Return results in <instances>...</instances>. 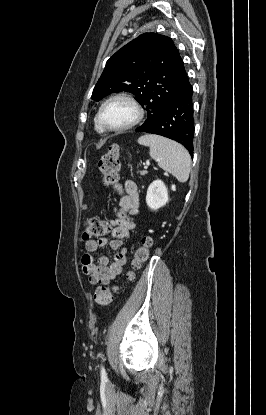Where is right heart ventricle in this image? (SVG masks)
<instances>
[{
    "label": "right heart ventricle",
    "instance_id": "right-heart-ventricle-1",
    "mask_svg": "<svg viewBox=\"0 0 266 415\" xmlns=\"http://www.w3.org/2000/svg\"><path fill=\"white\" fill-rule=\"evenodd\" d=\"M95 130H96L98 133H102V132H104V129L100 126V124H99V122H98L97 117H96V119H95Z\"/></svg>",
    "mask_w": 266,
    "mask_h": 415
}]
</instances>
